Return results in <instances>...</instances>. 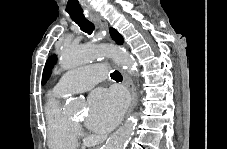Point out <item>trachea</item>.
I'll list each match as a JSON object with an SVG mask.
<instances>
[{"label": "trachea", "mask_w": 227, "mask_h": 149, "mask_svg": "<svg viewBox=\"0 0 227 149\" xmlns=\"http://www.w3.org/2000/svg\"><path fill=\"white\" fill-rule=\"evenodd\" d=\"M74 22L80 27V29L91 35L92 32L94 31V24L88 20H74ZM111 78L115 81H121L122 80V75L118 71H114L110 74Z\"/></svg>", "instance_id": "obj_1"}]
</instances>
